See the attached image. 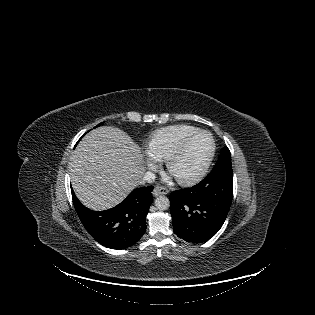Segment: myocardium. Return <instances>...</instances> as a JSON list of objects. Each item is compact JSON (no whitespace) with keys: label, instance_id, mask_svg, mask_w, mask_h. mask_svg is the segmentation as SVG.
I'll use <instances>...</instances> for the list:
<instances>
[{"label":"myocardium","instance_id":"1","mask_svg":"<svg viewBox=\"0 0 315 315\" xmlns=\"http://www.w3.org/2000/svg\"><path fill=\"white\" fill-rule=\"evenodd\" d=\"M199 134H206L209 139H210V151L209 154L204 162V164L202 165V167L196 171L195 173L188 175V176H176L173 173V164L176 161V159H178L183 152L185 151L188 143L197 135ZM215 150H216V145H215V140L212 136V134L210 132H208L207 130H201L198 129L192 133H190L189 135H187L186 137H184L180 143L176 146V148L167 156V158L165 159V166L166 169L168 170V172L170 174H172L174 176V178L183 185H190V184H194L198 181H200L208 172L211 163L213 161L214 155H215Z\"/></svg>","mask_w":315,"mask_h":315}]
</instances>
